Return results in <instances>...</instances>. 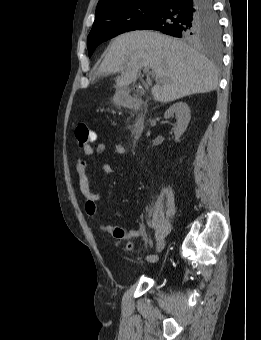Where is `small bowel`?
I'll list each match as a JSON object with an SVG mask.
<instances>
[{
    "mask_svg": "<svg viewBox=\"0 0 261 340\" xmlns=\"http://www.w3.org/2000/svg\"><path fill=\"white\" fill-rule=\"evenodd\" d=\"M107 144L104 142L98 143L96 148L91 143H87L82 146L83 152L86 157L93 156L96 153L102 154L107 150ZM114 151L117 155L123 156L126 154V147L123 143L118 142L113 145ZM88 164L85 158H78L75 161V171L78 177V186L82 196L85 199L84 212L89 218H94L98 213V202L101 199V194L93 192L90 187V181L88 177ZM101 170L105 176L109 177L114 173L112 166L109 163H101ZM99 228L111 234L118 240L124 239H138L145 237L144 226L138 228H125L120 226H114L107 222L99 223Z\"/></svg>",
    "mask_w": 261,
    "mask_h": 340,
    "instance_id": "small-bowel-1",
    "label": "small bowel"
}]
</instances>
